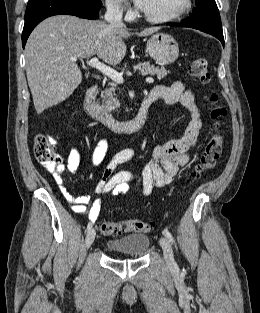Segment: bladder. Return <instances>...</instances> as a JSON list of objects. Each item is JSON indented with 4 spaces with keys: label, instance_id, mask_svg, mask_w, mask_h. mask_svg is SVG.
<instances>
[{
    "label": "bladder",
    "instance_id": "31cf9c89",
    "mask_svg": "<svg viewBox=\"0 0 260 313\" xmlns=\"http://www.w3.org/2000/svg\"><path fill=\"white\" fill-rule=\"evenodd\" d=\"M149 246V237L145 234H131L107 242L106 247L112 252L128 254L131 258H141Z\"/></svg>",
    "mask_w": 260,
    "mask_h": 313
}]
</instances>
